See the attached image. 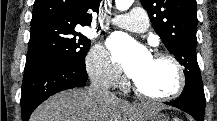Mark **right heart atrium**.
Here are the masks:
<instances>
[{
  "label": "right heart atrium",
  "mask_w": 217,
  "mask_h": 121,
  "mask_svg": "<svg viewBox=\"0 0 217 121\" xmlns=\"http://www.w3.org/2000/svg\"><path fill=\"white\" fill-rule=\"evenodd\" d=\"M86 69L89 76L100 85L115 87L122 81L119 68L103 46H96L89 51Z\"/></svg>",
  "instance_id": "1"
}]
</instances>
